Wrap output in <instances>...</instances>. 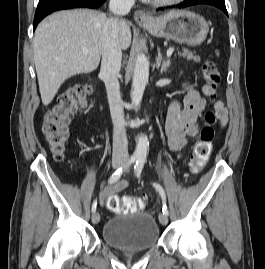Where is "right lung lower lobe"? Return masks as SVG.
Instances as JSON below:
<instances>
[{
    "label": "right lung lower lobe",
    "instance_id": "1",
    "mask_svg": "<svg viewBox=\"0 0 265 269\" xmlns=\"http://www.w3.org/2000/svg\"><path fill=\"white\" fill-rule=\"evenodd\" d=\"M106 0H40L34 17V30L38 23L48 14L71 8H97Z\"/></svg>",
    "mask_w": 265,
    "mask_h": 269
}]
</instances>
